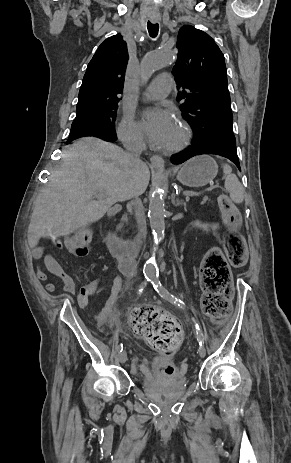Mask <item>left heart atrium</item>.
Segmentation results:
<instances>
[{
    "label": "left heart atrium",
    "instance_id": "left-heart-atrium-1",
    "mask_svg": "<svg viewBox=\"0 0 291 463\" xmlns=\"http://www.w3.org/2000/svg\"><path fill=\"white\" fill-rule=\"evenodd\" d=\"M142 126L151 144L164 147L173 135L177 123L168 111L151 108L143 113Z\"/></svg>",
    "mask_w": 291,
    "mask_h": 463
}]
</instances>
